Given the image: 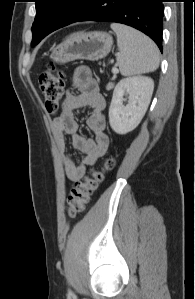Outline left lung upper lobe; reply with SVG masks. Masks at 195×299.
I'll list each match as a JSON object with an SVG mask.
<instances>
[{"mask_svg":"<svg viewBox=\"0 0 195 299\" xmlns=\"http://www.w3.org/2000/svg\"><path fill=\"white\" fill-rule=\"evenodd\" d=\"M91 0H35L36 17L32 25L31 46L51 32L77 22L86 12ZM57 5L59 11L52 15L51 7Z\"/></svg>","mask_w":195,"mask_h":299,"instance_id":"left-lung-upper-lobe-1","label":"left lung upper lobe"}]
</instances>
